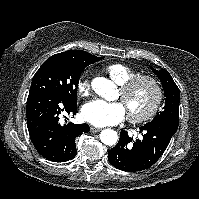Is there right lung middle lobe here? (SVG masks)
<instances>
[{
    "label": "right lung middle lobe",
    "instance_id": "1",
    "mask_svg": "<svg viewBox=\"0 0 199 199\" xmlns=\"http://www.w3.org/2000/svg\"><path fill=\"white\" fill-rule=\"evenodd\" d=\"M103 59L97 57L90 62H76L53 55L49 57L35 73L30 92L50 90L71 104H77V86L81 72L88 65Z\"/></svg>",
    "mask_w": 199,
    "mask_h": 199
}]
</instances>
